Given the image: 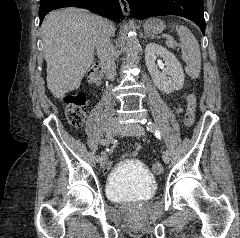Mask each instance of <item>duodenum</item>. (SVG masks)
I'll return each mask as SVG.
<instances>
[{
  "label": "duodenum",
  "mask_w": 240,
  "mask_h": 238,
  "mask_svg": "<svg viewBox=\"0 0 240 238\" xmlns=\"http://www.w3.org/2000/svg\"><path fill=\"white\" fill-rule=\"evenodd\" d=\"M96 67L99 68L97 65H94V66H93V68H96Z\"/></svg>",
  "instance_id": "1"
}]
</instances>
